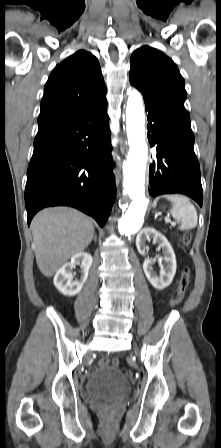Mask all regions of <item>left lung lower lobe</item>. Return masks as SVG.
Instances as JSON below:
<instances>
[{"mask_svg": "<svg viewBox=\"0 0 221 448\" xmlns=\"http://www.w3.org/2000/svg\"><path fill=\"white\" fill-rule=\"evenodd\" d=\"M150 146L156 145V159L149 168V194L153 197L182 193L202 206L200 168L193 150L192 130L182 127L160 112L146 107Z\"/></svg>", "mask_w": 221, "mask_h": 448, "instance_id": "obj_1", "label": "left lung lower lobe"}]
</instances>
